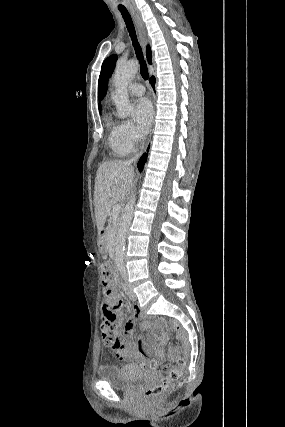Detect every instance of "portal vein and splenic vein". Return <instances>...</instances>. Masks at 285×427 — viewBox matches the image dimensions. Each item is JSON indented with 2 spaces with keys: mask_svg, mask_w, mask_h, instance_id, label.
<instances>
[{
  "mask_svg": "<svg viewBox=\"0 0 285 427\" xmlns=\"http://www.w3.org/2000/svg\"><path fill=\"white\" fill-rule=\"evenodd\" d=\"M119 209H120L119 205H115L112 209V216H113L114 220H116V218L118 217Z\"/></svg>",
  "mask_w": 285,
  "mask_h": 427,
  "instance_id": "obj_1",
  "label": "portal vein and splenic vein"
}]
</instances>
